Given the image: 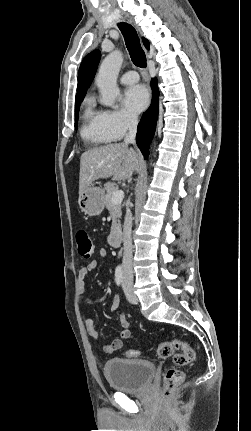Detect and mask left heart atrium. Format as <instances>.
<instances>
[{
    "label": "left heart atrium",
    "instance_id": "obj_1",
    "mask_svg": "<svg viewBox=\"0 0 251 431\" xmlns=\"http://www.w3.org/2000/svg\"><path fill=\"white\" fill-rule=\"evenodd\" d=\"M148 92L142 85L128 87L123 95L122 102L125 108L131 113L138 114L148 104Z\"/></svg>",
    "mask_w": 251,
    "mask_h": 431
}]
</instances>
